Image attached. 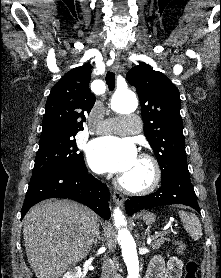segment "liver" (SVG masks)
<instances>
[{
  "label": "liver",
  "mask_w": 221,
  "mask_h": 278,
  "mask_svg": "<svg viewBox=\"0 0 221 278\" xmlns=\"http://www.w3.org/2000/svg\"><path fill=\"white\" fill-rule=\"evenodd\" d=\"M24 243L28 262L37 278H60L90 252L98 216L70 200H46L24 218Z\"/></svg>",
  "instance_id": "obj_1"
}]
</instances>
